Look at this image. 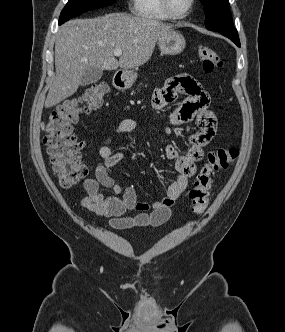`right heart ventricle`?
<instances>
[{
	"instance_id": "obj_1",
	"label": "right heart ventricle",
	"mask_w": 285,
	"mask_h": 332,
	"mask_svg": "<svg viewBox=\"0 0 285 332\" xmlns=\"http://www.w3.org/2000/svg\"><path fill=\"white\" fill-rule=\"evenodd\" d=\"M132 12L134 15L154 21L173 20L164 10L161 0H132Z\"/></svg>"
}]
</instances>
